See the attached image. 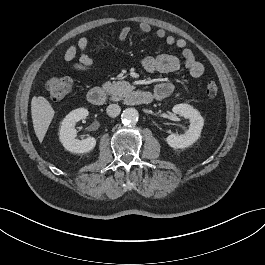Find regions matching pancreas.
Wrapping results in <instances>:
<instances>
[{
  "mask_svg": "<svg viewBox=\"0 0 265 265\" xmlns=\"http://www.w3.org/2000/svg\"><path fill=\"white\" fill-rule=\"evenodd\" d=\"M103 89L111 95L112 101H119L123 98L126 91L127 83L126 82H106L103 84Z\"/></svg>",
  "mask_w": 265,
  "mask_h": 265,
  "instance_id": "cf45deb5",
  "label": "pancreas"
}]
</instances>
